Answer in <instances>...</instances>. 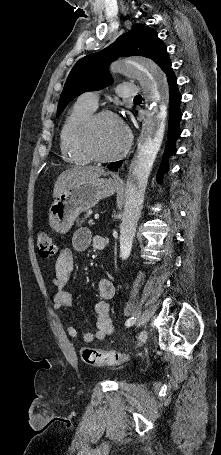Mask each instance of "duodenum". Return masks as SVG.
<instances>
[{"label":"duodenum","instance_id":"410a0bca","mask_svg":"<svg viewBox=\"0 0 221 455\" xmlns=\"http://www.w3.org/2000/svg\"><path fill=\"white\" fill-rule=\"evenodd\" d=\"M106 246V239L105 237H100L96 243H95V247L98 249V250H103Z\"/></svg>","mask_w":221,"mask_h":455}]
</instances>
